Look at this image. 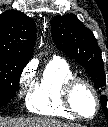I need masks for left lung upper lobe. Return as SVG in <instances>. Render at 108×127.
I'll use <instances>...</instances> for the list:
<instances>
[{"mask_svg": "<svg viewBox=\"0 0 108 127\" xmlns=\"http://www.w3.org/2000/svg\"><path fill=\"white\" fill-rule=\"evenodd\" d=\"M51 30L56 46L86 68L99 89L103 109L108 116L107 97L103 95L106 86L103 60L93 33L74 14L55 16Z\"/></svg>", "mask_w": 108, "mask_h": 127, "instance_id": "5c2ea615", "label": "left lung upper lobe"}]
</instances>
